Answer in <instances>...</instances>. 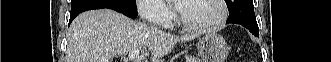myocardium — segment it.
I'll list each match as a JSON object with an SVG mask.
<instances>
[{
  "label": "myocardium",
  "mask_w": 331,
  "mask_h": 62,
  "mask_svg": "<svg viewBox=\"0 0 331 62\" xmlns=\"http://www.w3.org/2000/svg\"><path fill=\"white\" fill-rule=\"evenodd\" d=\"M218 2V4L220 5L221 8V16L220 19L218 20L217 23H215L214 25L211 26H205V27H200V26H193L188 24L181 13L180 10V5L176 4L175 8L177 11V23L178 25L183 28L184 30L188 31V32H192V33H199V34H203V33H211V32H215L220 30L227 22L228 19V7L226 4V1L224 0H216Z\"/></svg>",
  "instance_id": "obj_1"
}]
</instances>
